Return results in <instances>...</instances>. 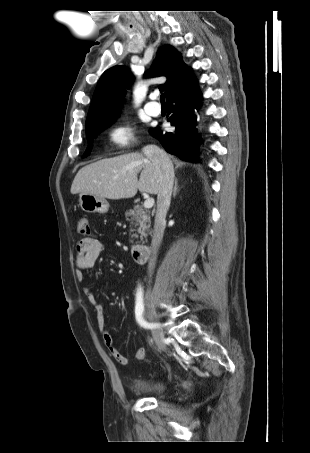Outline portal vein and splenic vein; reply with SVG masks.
<instances>
[{"label": "portal vein and splenic vein", "instance_id": "portal-vein-and-splenic-vein-1", "mask_svg": "<svg viewBox=\"0 0 310 453\" xmlns=\"http://www.w3.org/2000/svg\"><path fill=\"white\" fill-rule=\"evenodd\" d=\"M153 205H154V199H153V198H148V199H146L145 202H144V207H145L146 209L152 208Z\"/></svg>", "mask_w": 310, "mask_h": 453}]
</instances>
